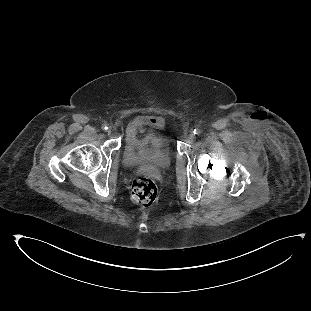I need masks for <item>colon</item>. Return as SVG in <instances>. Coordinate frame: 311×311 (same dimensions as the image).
Segmentation results:
<instances>
[{
	"label": "colon",
	"mask_w": 311,
	"mask_h": 311,
	"mask_svg": "<svg viewBox=\"0 0 311 311\" xmlns=\"http://www.w3.org/2000/svg\"><path fill=\"white\" fill-rule=\"evenodd\" d=\"M131 194L135 203L149 206L156 200L158 190L152 178L139 176L133 180Z\"/></svg>",
	"instance_id": "colon-1"
}]
</instances>
